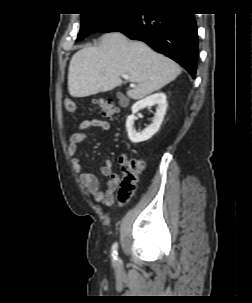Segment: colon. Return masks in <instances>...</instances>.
<instances>
[{
  "label": "colon",
  "mask_w": 252,
  "mask_h": 303,
  "mask_svg": "<svg viewBox=\"0 0 252 303\" xmlns=\"http://www.w3.org/2000/svg\"><path fill=\"white\" fill-rule=\"evenodd\" d=\"M96 105L105 115L111 116L117 111V107L110 101L101 99L93 100ZM64 108L69 113L76 111V104L72 98L64 99ZM145 161L141 157L124 156L122 159V174L123 178L119 189V201L121 203L128 202L136 190L139 178L144 171Z\"/></svg>",
  "instance_id": "colon-1"
}]
</instances>
